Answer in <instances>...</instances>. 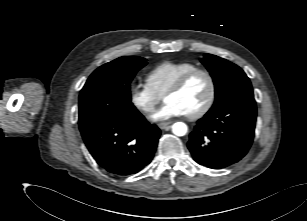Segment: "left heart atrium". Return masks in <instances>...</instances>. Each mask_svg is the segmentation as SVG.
I'll use <instances>...</instances> for the list:
<instances>
[{
    "instance_id": "1",
    "label": "left heart atrium",
    "mask_w": 307,
    "mask_h": 221,
    "mask_svg": "<svg viewBox=\"0 0 307 221\" xmlns=\"http://www.w3.org/2000/svg\"><path fill=\"white\" fill-rule=\"evenodd\" d=\"M186 115L184 109L175 102H166L152 116L153 121H164L174 117Z\"/></svg>"
}]
</instances>
